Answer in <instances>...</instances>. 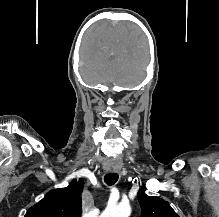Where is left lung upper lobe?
Returning <instances> with one entry per match:
<instances>
[{
	"label": "left lung upper lobe",
	"mask_w": 219,
	"mask_h": 217,
	"mask_svg": "<svg viewBox=\"0 0 219 217\" xmlns=\"http://www.w3.org/2000/svg\"><path fill=\"white\" fill-rule=\"evenodd\" d=\"M138 200L142 209L141 217H179L167 201L147 196L142 189L138 192Z\"/></svg>",
	"instance_id": "5c2ea615"
}]
</instances>
